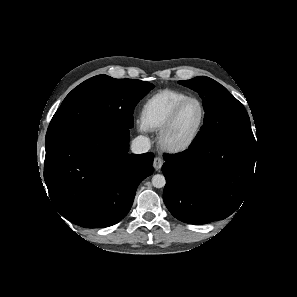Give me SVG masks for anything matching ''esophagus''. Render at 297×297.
<instances>
[{
	"label": "esophagus",
	"mask_w": 297,
	"mask_h": 297,
	"mask_svg": "<svg viewBox=\"0 0 297 297\" xmlns=\"http://www.w3.org/2000/svg\"><path fill=\"white\" fill-rule=\"evenodd\" d=\"M163 163L164 161L161 157H155L153 161V166L156 170H159L162 167Z\"/></svg>",
	"instance_id": "34e87169"
}]
</instances>
